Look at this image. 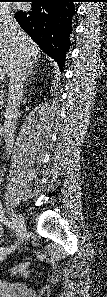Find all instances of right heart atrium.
Returning a JSON list of instances; mask_svg holds the SVG:
<instances>
[{
    "instance_id": "obj_1",
    "label": "right heart atrium",
    "mask_w": 107,
    "mask_h": 297,
    "mask_svg": "<svg viewBox=\"0 0 107 297\" xmlns=\"http://www.w3.org/2000/svg\"><path fill=\"white\" fill-rule=\"evenodd\" d=\"M8 14H9V10H8V8H7V7H1V9H0V15H1L2 17H7Z\"/></svg>"
}]
</instances>
